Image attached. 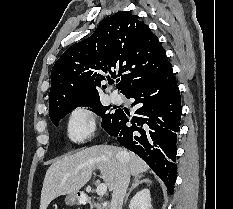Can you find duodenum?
Returning <instances> with one entry per match:
<instances>
[{
  "label": "duodenum",
  "instance_id": "obj_1",
  "mask_svg": "<svg viewBox=\"0 0 233 209\" xmlns=\"http://www.w3.org/2000/svg\"><path fill=\"white\" fill-rule=\"evenodd\" d=\"M79 202L81 204H91L93 203V200L88 195H81L79 197ZM101 209H109L110 205L108 202H103L100 205Z\"/></svg>",
  "mask_w": 233,
  "mask_h": 209
}]
</instances>
